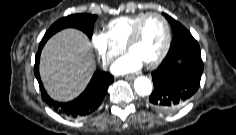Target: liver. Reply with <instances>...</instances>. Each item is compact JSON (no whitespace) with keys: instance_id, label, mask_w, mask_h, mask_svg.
<instances>
[{"instance_id":"obj_1","label":"liver","mask_w":236,"mask_h":135,"mask_svg":"<svg viewBox=\"0 0 236 135\" xmlns=\"http://www.w3.org/2000/svg\"><path fill=\"white\" fill-rule=\"evenodd\" d=\"M96 68L88 37L73 28L64 29L45 44L40 76L47 93L55 100L69 101L88 84Z\"/></svg>"}]
</instances>
